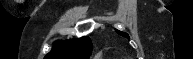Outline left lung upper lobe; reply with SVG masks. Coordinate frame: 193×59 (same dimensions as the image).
<instances>
[{"label":"left lung upper lobe","instance_id":"5c2ea615","mask_svg":"<svg viewBox=\"0 0 193 59\" xmlns=\"http://www.w3.org/2000/svg\"><path fill=\"white\" fill-rule=\"evenodd\" d=\"M116 32H117L119 35H122V36H124V37H126V38H128V39H129V36H128V34H127V33H125V32H121V31H119V30H116Z\"/></svg>","mask_w":193,"mask_h":59}]
</instances>
